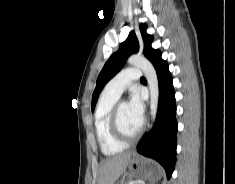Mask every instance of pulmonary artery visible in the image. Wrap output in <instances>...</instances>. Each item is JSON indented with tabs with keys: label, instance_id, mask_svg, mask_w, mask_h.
Returning <instances> with one entry per match:
<instances>
[{
	"label": "pulmonary artery",
	"instance_id": "1",
	"mask_svg": "<svg viewBox=\"0 0 235 184\" xmlns=\"http://www.w3.org/2000/svg\"><path fill=\"white\" fill-rule=\"evenodd\" d=\"M142 74V69L128 68L115 75L104 87L103 93L107 96L119 98L131 81Z\"/></svg>",
	"mask_w": 235,
	"mask_h": 184
}]
</instances>
